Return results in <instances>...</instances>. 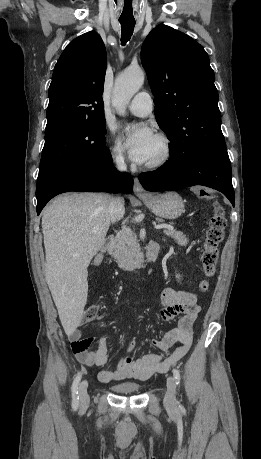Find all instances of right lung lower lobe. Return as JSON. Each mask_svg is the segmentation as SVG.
I'll use <instances>...</instances> for the list:
<instances>
[{
  "label": "right lung lower lobe",
  "instance_id": "right-lung-lower-lobe-1",
  "mask_svg": "<svg viewBox=\"0 0 261 459\" xmlns=\"http://www.w3.org/2000/svg\"><path fill=\"white\" fill-rule=\"evenodd\" d=\"M109 165H83L56 174L36 188L37 214L54 196L68 191L131 193L133 179Z\"/></svg>",
  "mask_w": 261,
  "mask_h": 459
}]
</instances>
